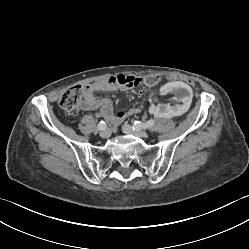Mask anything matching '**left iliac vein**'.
Returning <instances> with one entry per match:
<instances>
[{
	"label": "left iliac vein",
	"mask_w": 249,
	"mask_h": 249,
	"mask_svg": "<svg viewBox=\"0 0 249 249\" xmlns=\"http://www.w3.org/2000/svg\"><path fill=\"white\" fill-rule=\"evenodd\" d=\"M122 130L126 134H134V135H136L138 137H141V138H145L148 135L147 131H145V130L134 131L132 129V127L130 125H128V124H124L122 126Z\"/></svg>",
	"instance_id": "left-iliac-vein-1"
}]
</instances>
